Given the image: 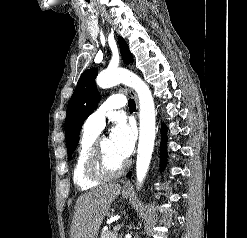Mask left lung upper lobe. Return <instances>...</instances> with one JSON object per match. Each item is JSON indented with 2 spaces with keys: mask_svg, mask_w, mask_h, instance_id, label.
Masks as SVG:
<instances>
[{
  "mask_svg": "<svg viewBox=\"0 0 247 238\" xmlns=\"http://www.w3.org/2000/svg\"><path fill=\"white\" fill-rule=\"evenodd\" d=\"M118 43L124 63L129 64L133 61L129 47L122 37L118 38ZM97 69L86 70L80 77L74 93L67 106L65 119V136L69 159L77 148L79 134L84 120L97 107L100 95L97 92L95 78Z\"/></svg>",
  "mask_w": 247,
  "mask_h": 238,
  "instance_id": "1",
  "label": "left lung upper lobe"
}]
</instances>
